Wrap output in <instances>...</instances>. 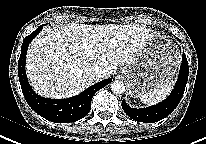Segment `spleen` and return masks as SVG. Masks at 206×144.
<instances>
[{"mask_svg": "<svg viewBox=\"0 0 206 144\" xmlns=\"http://www.w3.org/2000/svg\"><path fill=\"white\" fill-rule=\"evenodd\" d=\"M174 85L173 80H168L159 88L153 91L147 92L140 97L142 103L146 105H155L160 101L164 100L172 91Z\"/></svg>", "mask_w": 206, "mask_h": 144, "instance_id": "1", "label": "spleen"}]
</instances>
